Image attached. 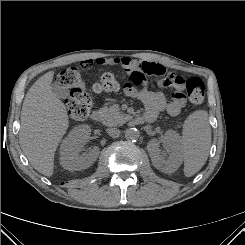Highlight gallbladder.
I'll use <instances>...</instances> for the list:
<instances>
[{
    "instance_id": "obj_1",
    "label": "gallbladder",
    "mask_w": 245,
    "mask_h": 245,
    "mask_svg": "<svg viewBox=\"0 0 245 245\" xmlns=\"http://www.w3.org/2000/svg\"><path fill=\"white\" fill-rule=\"evenodd\" d=\"M53 93L61 99H65L69 96V90L65 87L60 86L59 84L52 85Z\"/></svg>"
}]
</instances>
